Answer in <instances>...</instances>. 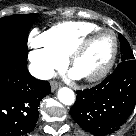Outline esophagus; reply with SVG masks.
Wrapping results in <instances>:
<instances>
[{"instance_id": "esophagus-1", "label": "esophagus", "mask_w": 136, "mask_h": 136, "mask_svg": "<svg viewBox=\"0 0 136 136\" xmlns=\"http://www.w3.org/2000/svg\"><path fill=\"white\" fill-rule=\"evenodd\" d=\"M50 86H51V91L54 92L55 90L58 89L59 84L56 81H51Z\"/></svg>"}]
</instances>
